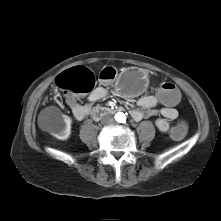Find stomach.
Instances as JSON below:
<instances>
[{"instance_id":"0dacf381","label":"stomach","mask_w":221,"mask_h":221,"mask_svg":"<svg viewBox=\"0 0 221 221\" xmlns=\"http://www.w3.org/2000/svg\"><path fill=\"white\" fill-rule=\"evenodd\" d=\"M149 79L145 71L127 69L120 73L116 83V91L126 97H134L141 94L148 86Z\"/></svg>"}]
</instances>
